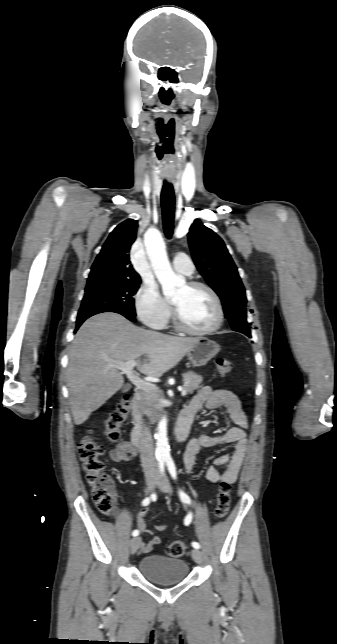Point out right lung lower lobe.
Masks as SVG:
<instances>
[{
    "instance_id": "1",
    "label": "right lung lower lobe",
    "mask_w": 337,
    "mask_h": 644,
    "mask_svg": "<svg viewBox=\"0 0 337 644\" xmlns=\"http://www.w3.org/2000/svg\"><path fill=\"white\" fill-rule=\"evenodd\" d=\"M116 313H118V312H116ZM119 314H121V315L125 316L127 319H129V320H130V321H132V322H135V321H136V319H135V317H134V316H131V315H128V314H125V313H119ZM85 320H86V319H83V320H79V321H77L76 330L80 327V325H81ZM76 330H75V331H76Z\"/></svg>"
}]
</instances>
